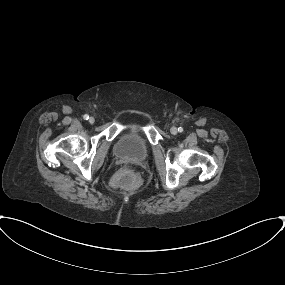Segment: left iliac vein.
Listing matches in <instances>:
<instances>
[{"instance_id":"1","label":"left iliac vein","mask_w":285,"mask_h":285,"mask_svg":"<svg viewBox=\"0 0 285 285\" xmlns=\"http://www.w3.org/2000/svg\"><path fill=\"white\" fill-rule=\"evenodd\" d=\"M170 132L175 135L177 133V128L174 126L171 127Z\"/></svg>"}]
</instances>
